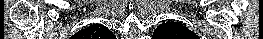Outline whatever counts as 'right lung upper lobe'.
Returning a JSON list of instances; mask_svg holds the SVG:
<instances>
[{
    "mask_svg": "<svg viewBox=\"0 0 263 39\" xmlns=\"http://www.w3.org/2000/svg\"><path fill=\"white\" fill-rule=\"evenodd\" d=\"M77 38L84 39H112L113 33L101 24H93L76 33Z\"/></svg>",
    "mask_w": 263,
    "mask_h": 39,
    "instance_id": "1",
    "label": "right lung upper lobe"
}]
</instances>
